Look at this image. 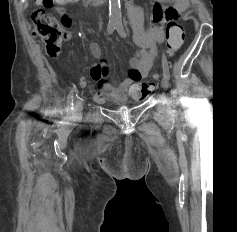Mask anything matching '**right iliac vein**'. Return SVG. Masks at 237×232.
Wrapping results in <instances>:
<instances>
[{"instance_id":"right-iliac-vein-1","label":"right iliac vein","mask_w":237,"mask_h":232,"mask_svg":"<svg viewBox=\"0 0 237 232\" xmlns=\"http://www.w3.org/2000/svg\"><path fill=\"white\" fill-rule=\"evenodd\" d=\"M82 113H83L82 102L80 100H77L75 102L74 112H73L74 119L79 120L82 117Z\"/></svg>"}]
</instances>
